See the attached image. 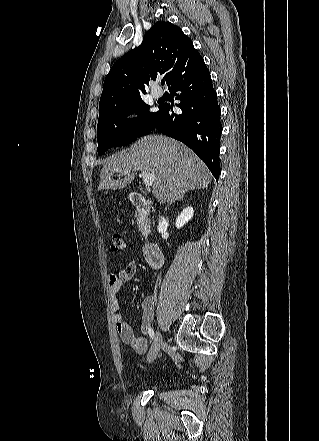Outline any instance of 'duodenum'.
Here are the masks:
<instances>
[{
  "mask_svg": "<svg viewBox=\"0 0 319 441\" xmlns=\"http://www.w3.org/2000/svg\"><path fill=\"white\" fill-rule=\"evenodd\" d=\"M131 204L140 212L147 214L151 211V203L139 193L130 194ZM143 254L148 264L153 268H160L164 264V254L161 249L154 244H147L143 249Z\"/></svg>",
  "mask_w": 319,
  "mask_h": 441,
  "instance_id": "410a0bca",
  "label": "duodenum"
}]
</instances>
